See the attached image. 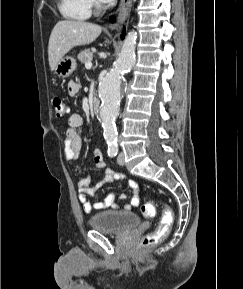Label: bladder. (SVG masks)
Listing matches in <instances>:
<instances>
[{"label": "bladder", "mask_w": 243, "mask_h": 289, "mask_svg": "<svg viewBox=\"0 0 243 289\" xmlns=\"http://www.w3.org/2000/svg\"><path fill=\"white\" fill-rule=\"evenodd\" d=\"M140 217L133 212L120 210H106L94 214L89 219V224L94 230L120 234L140 224Z\"/></svg>", "instance_id": "31cf9c89"}]
</instances>
